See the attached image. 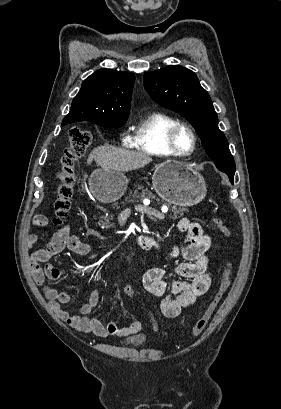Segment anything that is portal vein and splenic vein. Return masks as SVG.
I'll list each match as a JSON object with an SVG mask.
<instances>
[{
    "mask_svg": "<svg viewBox=\"0 0 281 409\" xmlns=\"http://www.w3.org/2000/svg\"><path fill=\"white\" fill-rule=\"evenodd\" d=\"M134 208L138 213H141L144 217H154L155 219H163L162 211L158 210L156 206H145L144 203L135 204Z\"/></svg>",
    "mask_w": 281,
    "mask_h": 409,
    "instance_id": "1",
    "label": "portal vein and splenic vein"
}]
</instances>
